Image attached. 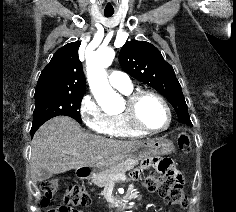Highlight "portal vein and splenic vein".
I'll return each mask as SVG.
<instances>
[{
    "mask_svg": "<svg viewBox=\"0 0 236 212\" xmlns=\"http://www.w3.org/2000/svg\"><path fill=\"white\" fill-rule=\"evenodd\" d=\"M66 153L70 154V155H76L77 154V152L75 150H69ZM119 179H124V176H121Z\"/></svg>",
    "mask_w": 236,
    "mask_h": 212,
    "instance_id": "obj_1",
    "label": "portal vein and splenic vein"
}]
</instances>
